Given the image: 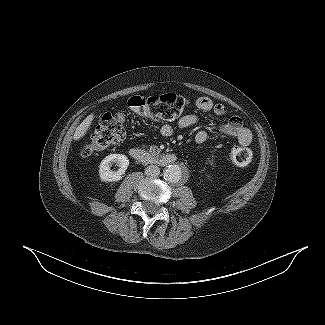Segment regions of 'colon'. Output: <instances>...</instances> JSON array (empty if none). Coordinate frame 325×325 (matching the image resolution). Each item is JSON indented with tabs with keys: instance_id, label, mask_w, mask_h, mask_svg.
<instances>
[{
	"instance_id": "obj_1",
	"label": "colon",
	"mask_w": 325,
	"mask_h": 325,
	"mask_svg": "<svg viewBox=\"0 0 325 325\" xmlns=\"http://www.w3.org/2000/svg\"><path fill=\"white\" fill-rule=\"evenodd\" d=\"M189 106V100L181 95L166 93L161 95L134 96L128 101V108L136 115L147 120L161 122L178 119ZM126 135V118L121 111L105 113L94 132L83 142L81 155L89 156L96 151L110 148L120 143ZM230 160L245 166L252 159L248 147L235 146L229 153Z\"/></svg>"
}]
</instances>
